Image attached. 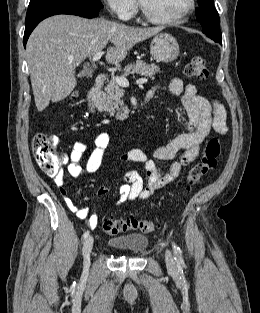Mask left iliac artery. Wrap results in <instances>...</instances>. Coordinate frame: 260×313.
<instances>
[{"instance_id": "1", "label": "left iliac artery", "mask_w": 260, "mask_h": 313, "mask_svg": "<svg viewBox=\"0 0 260 313\" xmlns=\"http://www.w3.org/2000/svg\"><path fill=\"white\" fill-rule=\"evenodd\" d=\"M172 246H173L174 254H175L174 259L175 260H179V259L181 260L182 259V257H181V255H182L181 249L174 242L172 243Z\"/></svg>"}]
</instances>
